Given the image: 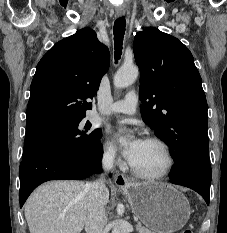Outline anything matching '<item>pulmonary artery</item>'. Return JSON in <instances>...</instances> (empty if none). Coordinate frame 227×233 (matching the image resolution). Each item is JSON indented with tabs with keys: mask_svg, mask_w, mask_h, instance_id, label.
I'll return each instance as SVG.
<instances>
[{
	"mask_svg": "<svg viewBox=\"0 0 227 233\" xmlns=\"http://www.w3.org/2000/svg\"><path fill=\"white\" fill-rule=\"evenodd\" d=\"M138 103V97L134 91H130L126 94L124 99L114 102L109 106L107 114H127L133 115L136 113Z\"/></svg>",
	"mask_w": 227,
	"mask_h": 233,
	"instance_id": "pulmonary-artery-1",
	"label": "pulmonary artery"
}]
</instances>
